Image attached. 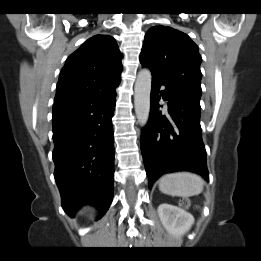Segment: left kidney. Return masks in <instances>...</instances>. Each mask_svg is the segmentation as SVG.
Masks as SVG:
<instances>
[{
    "mask_svg": "<svg viewBox=\"0 0 261 261\" xmlns=\"http://www.w3.org/2000/svg\"><path fill=\"white\" fill-rule=\"evenodd\" d=\"M158 214L165 229L174 237L184 235L194 223V217L189 212L171 204H161Z\"/></svg>",
    "mask_w": 261,
    "mask_h": 261,
    "instance_id": "obj_1",
    "label": "left kidney"
}]
</instances>
